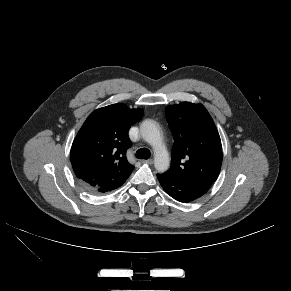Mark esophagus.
Returning <instances> with one entry per match:
<instances>
[{"label": "esophagus", "mask_w": 291, "mask_h": 291, "mask_svg": "<svg viewBox=\"0 0 291 291\" xmlns=\"http://www.w3.org/2000/svg\"><path fill=\"white\" fill-rule=\"evenodd\" d=\"M142 163H145V164H153V160L152 159L143 160Z\"/></svg>", "instance_id": "obj_1"}]
</instances>
